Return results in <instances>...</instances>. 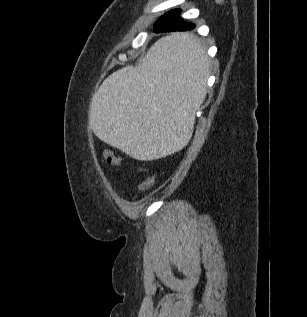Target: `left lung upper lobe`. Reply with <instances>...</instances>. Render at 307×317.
<instances>
[{"label":"left lung upper lobe","mask_w":307,"mask_h":317,"mask_svg":"<svg viewBox=\"0 0 307 317\" xmlns=\"http://www.w3.org/2000/svg\"><path fill=\"white\" fill-rule=\"evenodd\" d=\"M180 12L181 10L180 9H174V10H171L167 13L164 14V16L160 17L158 19V21L160 20H167L171 23V25L173 27H177V26H181V25H185V24H188V22H185L181 16H180Z\"/></svg>","instance_id":"1"}]
</instances>
